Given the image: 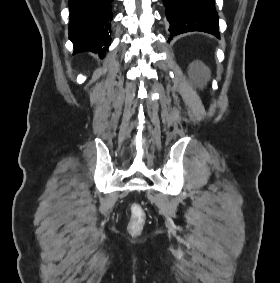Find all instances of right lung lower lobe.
I'll use <instances>...</instances> for the list:
<instances>
[{
	"instance_id": "1",
	"label": "right lung lower lobe",
	"mask_w": 280,
	"mask_h": 283,
	"mask_svg": "<svg viewBox=\"0 0 280 283\" xmlns=\"http://www.w3.org/2000/svg\"><path fill=\"white\" fill-rule=\"evenodd\" d=\"M114 0H69V39L74 52L103 54L110 46ZM104 56V55H103Z\"/></svg>"
}]
</instances>
